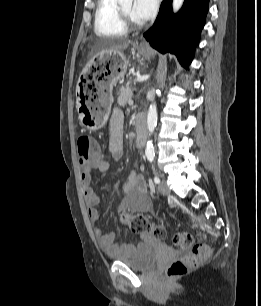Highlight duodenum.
I'll return each instance as SVG.
<instances>
[{
  "label": "duodenum",
  "instance_id": "1",
  "mask_svg": "<svg viewBox=\"0 0 261 306\" xmlns=\"http://www.w3.org/2000/svg\"><path fill=\"white\" fill-rule=\"evenodd\" d=\"M136 129V145L142 146L146 137V117L142 114L137 115L133 121Z\"/></svg>",
  "mask_w": 261,
  "mask_h": 306
}]
</instances>
